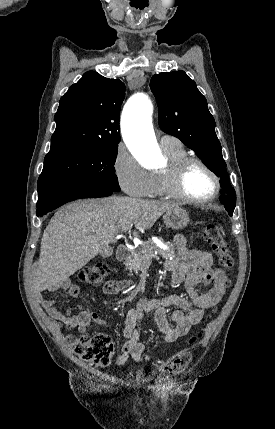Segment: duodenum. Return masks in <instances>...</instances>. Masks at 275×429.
<instances>
[{
	"instance_id": "410a0bca",
	"label": "duodenum",
	"mask_w": 275,
	"mask_h": 429,
	"mask_svg": "<svg viewBox=\"0 0 275 429\" xmlns=\"http://www.w3.org/2000/svg\"><path fill=\"white\" fill-rule=\"evenodd\" d=\"M116 255H117V259L119 261H126L129 259L130 255H131V250L126 245H120L117 249Z\"/></svg>"
}]
</instances>
